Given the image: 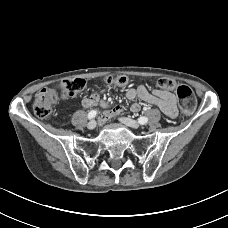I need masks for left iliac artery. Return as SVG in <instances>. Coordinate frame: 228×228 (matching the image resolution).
<instances>
[{"instance_id": "left-iliac-artery-1", "label": "left iliac artery", "mask_w": 228, "mask_h": 228, "mask_svg": "<svg viewBox=\"0 0 228 228\" xmlns=\"http://www.w3.org/2000/svg\"><path fill=\"white\" fill-rule=\"evenodd\" d=\"M138 122H139L141 125H144V124H146V123L148 122V118L142 116V117L138 118Z\"/></svg>"}]
</instances>
